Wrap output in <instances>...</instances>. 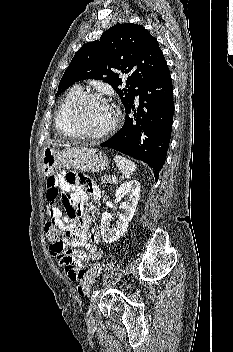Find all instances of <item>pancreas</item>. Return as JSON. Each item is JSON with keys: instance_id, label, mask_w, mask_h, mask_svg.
Returning a JSON list of instances; mask_svg holds the SVG:
<instances>
[{"instance_id": "cf45deb5", "label": "pancreas", "mask_w": 233, "mask_h": 352, "mask_svg": "<svg viewBox=\"0 0 233 352\" xmlns=\"http://www.w3.org/2000/svg\"><path fill=\"white\" fill-rule=\"evenodd\" d=\"M101 181H102V184H104V183H110V184H112V183H117V181L116 182H114V181H112V179H111V177H109V176H104V177H102V179H101Z\"/></svg>"}]
</instances>
